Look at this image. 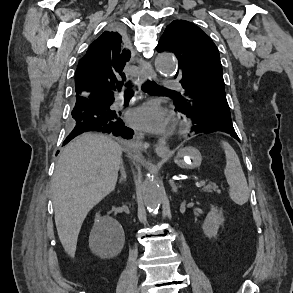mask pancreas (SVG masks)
I'll return each mask as SVG.
<instances>
[{
    "label": "pancreas",
    "instance_id": "cf45deb5",
    "mask_svg": "<svg viewBox=\"0 0 293 293\" xmlns=\"http://www.w3.org/2000/svg\"><path fill=\"white\" fill-rule=\"evenodd\" d=\"M203 192H208V193H212V192H217L220 193V190L218 189V186L215 183H209L208 185L204 186L202 188Z\"/></svg>",
    "mask_w": 293,
    "mask_h": 293
}]
</instances>
